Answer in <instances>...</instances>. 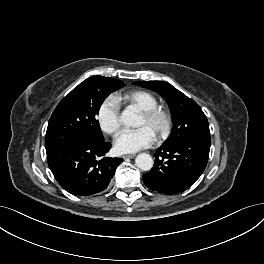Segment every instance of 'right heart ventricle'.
I'll list each match as a JSON object with an SVG mask.
<instances>
[{"mask_svg": "<svg viewBox=\"0 0 264 264\" xmlns=\"http://www.w3.org/2000/svg\"><path fill=\"white\" fill-rule=\"evenodd\" d=\"M118 99L137 107L141 111L158 106L155 95L146 90H132L120 95Z\"/></svg>", "mask_w": 264, "mask_h": 264, "instance_id": "right-heart-ventricle-1", "label": "right heart ventricle"}]
</instances>
